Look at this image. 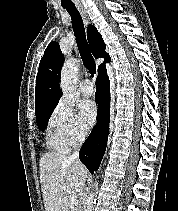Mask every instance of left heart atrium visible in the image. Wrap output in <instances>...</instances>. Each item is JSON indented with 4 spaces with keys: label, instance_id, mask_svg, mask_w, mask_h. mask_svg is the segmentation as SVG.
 Here are the masks:
<instances>
[{
    "label": "left heart atrium",
    "instance_id": "left-heart-atrium-1",
    "mask_svg": "<svg viewBox=\"0 0 178 211\" xmlns=\"http://www.w3.org/2000/svg\"><path fill=\"white\" fill-rule=\"evenodd\" d=\"M80 119L86 128L94 125L97 117V106L92 100H83L79 104Z\"/></svg>",
    "mask_w": 178,
    "mask_h": 211
}]
</instances>
